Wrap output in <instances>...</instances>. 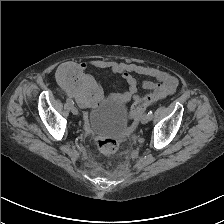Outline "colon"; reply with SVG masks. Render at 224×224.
I'll return each mask as SVG.
<instances>
[{"label": "colon", "mask_w": 224, "mask_h": 224, "mask_svg": "<svg viewBox=\"0 0 224 224\" xmlns=\"http://www.w3.org/2000/svg\"><path fill=\"white\" fill-rule=\"evenodd\" d=\"M57 77L66 89L68 95L75 99L81 106H92L98 102L99 92L91 86V78L75 63H67L58 69ZM150 98L138 100L131 110L135 116L149 103ZM97 149L104 155H112L119 150V142L109 137H96L94 139Z\"/></svg>", "instance_id": "obj_1"}]
</instances>
